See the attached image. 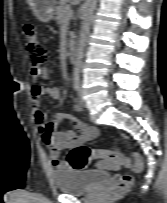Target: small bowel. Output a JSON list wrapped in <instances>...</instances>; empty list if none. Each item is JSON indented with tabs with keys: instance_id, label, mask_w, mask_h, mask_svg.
Masks as SVG:
<instances>
[{
	"instance_id": "obj_1",
	"label": "small bowel",
	"mask_w": 167,
	"mask_h": 203,
	"mask_svg": "<svg viewBox=\"0 0 167 203\" xmlns=\"http://www.w3.org/2000/svg\"><path fill=\"white\" fill-rule=\"evenodd\" d=\"M30 75L34 81L31 87L33 115L38 125L41 138L49 149V159L55 168L69 167L68 163L60 158L61 151L71 149L78 145H84L96 139L99 135L98 129L96 127H90L80 119L65 113H57L50 121H46L45 113L42 109V98L48 96L52 100L58 101L61 97L60 90L55 87H43L36 83L38 79H47L49 77V70L46 67H43L37 72L31 70ZM74 107L77 111H82L83 109V106L78 101L74 102ZM65 119L70 120L78 134L70 129L56 130V127ZM93 158L102 159L97 163L98 169L116 170L121 166L107 156L94 155Z\"/></svg>"
}]
</instances>
